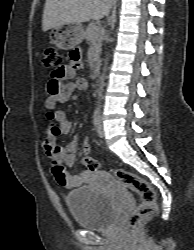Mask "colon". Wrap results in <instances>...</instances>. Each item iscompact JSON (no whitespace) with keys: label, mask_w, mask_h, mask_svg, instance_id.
I'll list each match as a JSON object with an SVG mask.
<instances>
[{"label":"colon","mask_w":194,"mask_h":250,"mask_svg":"<svg viewBox=\"0 0 194 250\" xmlns=\"http://www.w3.org/2000/svg\"><path fill=\"white\" fill-rule=\"evenodd\" d=\"M70 57L74 62L79 61V53L77 51H73ZM61 63L62 58L54 46L44 48L42 64L45 67L58 69L61 67ZM82 150L86 154L82 159V163L90 171H100L102 164L88 155L90 145L87 140L82 142ZM111 173L120 184L133 190L140 197V204L126 219L127 225H134L142 219L155 214L157 208L156 193L145 179L121 168L113 169Z\"/></svg>","instance_id":"obj_1"}]
</instances>
